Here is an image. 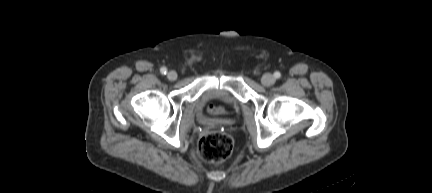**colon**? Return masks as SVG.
Here are the masks:
<instances>
[{
	"label": "colon",
	"mask_w": 432,
	"mask_h": 193,
	"mask_svg": "<svg viewBox=\"0 0 432 193\" xmlns=\"http://www.w3.org/2000/svg\"><path fill=\"white\" fill-rule=\"evenodd\" d=\"M233 151V139L224 133H210L203 136L198 144L199 156L208 162H221Z\"/></svg>",
	"instance_id": "5ec220e1"
}]
</instances>
